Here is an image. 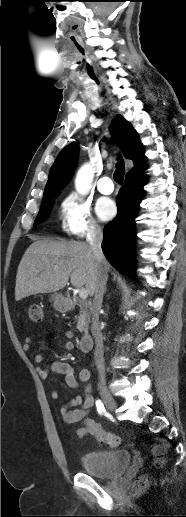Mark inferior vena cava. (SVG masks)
Instances as JSON below:
<instances>
[{
	"label": "inferior vena cava",
	"mask_w": 186,
	"mask_h": 517,
	"mask_svg": "<svg viewBox=\"0 0 186 517\" xmlns=\"http://www.w3.org/2000/svg\"><path fill=\"white\" fill-rule=\"evenodd\" d=\"M102 239L103 234L101 228L99 226H94L87 239L96 261L91 332L95 339L94 360L98 370V375L101 379H105L103 336L99 322V311L102 305L108 275L105 268L106 260L101 248Z\"/></svg>",
	"instance_id": "602c4592"
}]
</instances>
